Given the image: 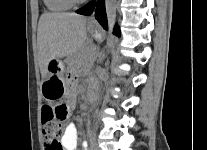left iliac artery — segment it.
I'll list each match as a JSON object with an SVG mask.
<instances>
[{
    "label": "left iliac artery",
    "instance_id": "44dca946",
    "mask_svg": "<svg viewBox=\"0 0 207 150\" xmlns=\"http://www.w3.org/2000/svg\"><path fill=\"white\" fill-rule=\"evenodd\" d=\"M90 141L92 142V141H95V137H94V135L91 133L90 134Z\"/></svg>",
    "mask_w": 207,
    "mask_h": 150
}]
</instances>
